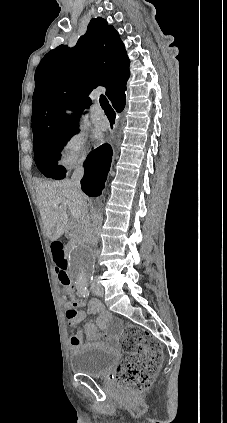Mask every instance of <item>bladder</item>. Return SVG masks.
Instances as JSON below:
<instances>
[{"mask_svg":"<svg viewBox=\"0 0 227 423\" xmlns=\"http://www.w3.org/2000/svg\"><path fill=\"white\" fill-rule=\"evenodd\" d=\"M118 362L116 352L108 351L100 346L83 348L71 357V370L93 379H102L112 374Z\"/></svg>","mask_w":227,"mask_h":423,"instance_id":"bladder-1","label":"bladder"}]
</instances>
